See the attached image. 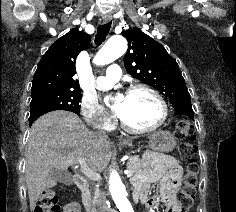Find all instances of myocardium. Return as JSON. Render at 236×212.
<instances>
[{"label":"myocardium","mask_w":236,"mask_h":212,"mask_svg":"<svg viewBox=\"0 0 236 212\" xmlns=\"http://www.w3.org/2000/svg\"><path fill=\"white\" fill-rule=\"evenodd\" d=\"M138 90L147 91L157 99V101L159 102V104L161 106V117L154 125H152L148 128H141L140 129V128L131 127L119 116L118 120H119L120 126L126 132L132 133V134H146V133L156 131L167 120L168 112H169L168 105H167L165 99L163 98V96L156 89H154L153 87H151L147 84H143V83L132 84L127 88L126 94H130V93H133Z\"/></svg>","instance_id":"1"}]
</instances>
